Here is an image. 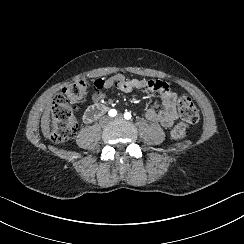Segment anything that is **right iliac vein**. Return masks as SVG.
<instances>
[{
	"label": "right iliac vein",
	"mask_w": 244,
	"mask_h": 244,
	"mask_svg": "<svg viewBox=\"0 0 244 244\" xmlns=\"http://www.w3.org/2000/svg\"><path fill=\"white\" fill-rule=\"evenodd\" d=\"M110 120H111V119H110L109 117L105 118V123H109Z\"/></svg>",
	"instance_id": "1"
}]
</instances>
